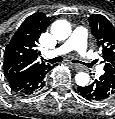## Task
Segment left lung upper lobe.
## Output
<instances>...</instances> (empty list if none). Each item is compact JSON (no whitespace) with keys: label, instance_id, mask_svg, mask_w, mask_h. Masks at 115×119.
I'll return each instance as SVG.
<instances>
[{"label":"left lung upper lobe","instance_id":"obj_1","mask_svg":"<svg viewBox=\"0 0 115 119\" xmlns=\"http://www.w3.org/2000/svg\"><path fill=\"white\" fill-rule=\"evenodd\" d=\"M89 22L92 34L102 48L105 73L115 78V27L100 14H92Z\"/></svg>","mask_w":115,"mask_h":119}]
</instances>
